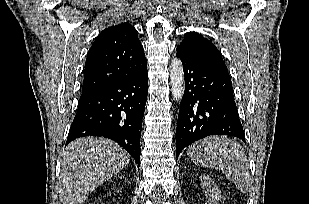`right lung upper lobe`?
Segmentation results:
<instances>
[{"label":"right lung upper lobe","instance_id":"cb5924a9","mask_svg":"<svg viewBox=\"0 0 309 204\" xmlns=\"http://www.w3.org/2000/svg\"><path fill=\"white\" fill-rule=\"evenodd\" d=\"M147 67L137 30L128 22L103 30L91 46L82 94L137 74Z\"/></svg>","mask_w":309,"mask_h":204}]
</instances>
